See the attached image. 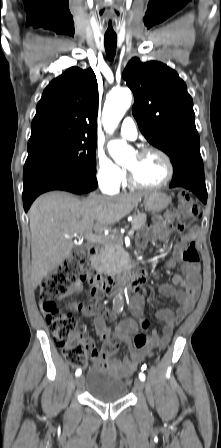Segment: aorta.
<instances>
[{
  "label": "aorta",
  "mask_w": 221,
  "mask_h": 448,
  "mask_svg": "<svg viewBox=\"0 0 221 448\" xmlns=\"http://www.w3.org/2000/svg\"><path fill=\"white\" fill-rule=\"evenodd\" d=\"M132 94L128 88H122L112 92L105 103L103 111V124L108 132H112L130 107ZM108 151L114 161L120 165H124L127 157L131 154L132 149L126 142L110 141L107 145Z\"/></svg>",
  "instance_id": "762f6f07"
}]
</instances>
